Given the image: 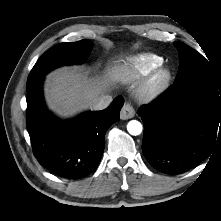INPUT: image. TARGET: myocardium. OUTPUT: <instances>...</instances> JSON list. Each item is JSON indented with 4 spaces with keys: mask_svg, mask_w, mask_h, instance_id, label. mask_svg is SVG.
Instances as JSON below:
<instances>
[{
    "mask_svg": "<svg viewBox=\"0 0 221 221\" xmlns=\"http://www.w3.org/2000/svg\"><path fill=\"white\" fill-rule=\"evenodd\" d=\"M172 81L169 67L161 64L152 69L142 80L137 94L142 101H152L162 95Z\"/></svg>",
    "mask_w": 221,
    "mask_h": 221,
    "instance_id": "f54148a6",
    "label": "myocardium"
}]
</instances>
